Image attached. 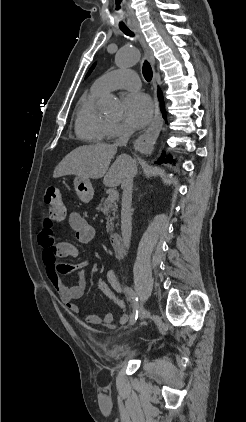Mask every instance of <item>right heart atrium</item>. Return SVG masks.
<instances>
[{
	"instance_id": "obj_1",
	"label": "right heart atrium",
	"mask_w": 246,
	"mask_h": 422,
	"mask_svg": "<svg viewBox=\"0 0 246 422\" xmlns=\"http://www.w3.org/2000/svg\"><path fill=\"white\" fill-rule=\"evenodd\" d=\"M127 133V129L118 122H109L107 127V138L115 139Z\"/></svg>"
}]
</instances>
